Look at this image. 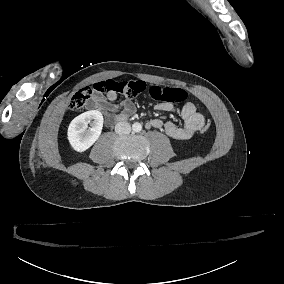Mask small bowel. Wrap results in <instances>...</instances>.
Returning <instances> with one entry per match:
<instances>
[{
  "mask_svg": "<svg viewBox=\"0 0 284 284\" xmlns=\"http://www.w3.org/2000/svg\"><path fill=\"white\" fill-rule=\"evenodd\" d=\"M118 98L117 93L110 92L105 97L97 96L93 99V108L99 110L113 111L115 106L112 102ZM159 111L177 112L183 120V124L177 125L170 121L153 119L146 123L147 128L163 129L165 133L175 140H188L192 138L206 123L205 116L200 113L193 103H186L178 109L170 103L162 102L155 106ZM135 104L130 99H125L121 103V115L128 116L134 113Z\"/></svg>",
  "mask_w": 284,
  "mask_h": 284,
  "instance_id": "obj_1",
  "label": "small bowel"
}]
</instances>
